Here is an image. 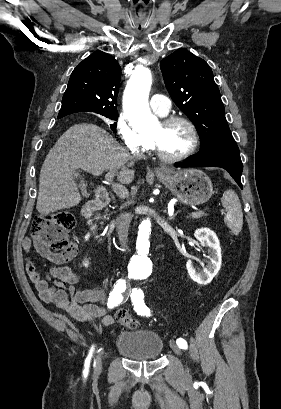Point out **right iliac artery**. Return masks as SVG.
Masks as SVG:
<instances>
[{
    "instance_id": "right-iliac-artery-1",
    "label": "right iliac artery",
    "mask_w": 281,
    "mask_h": 409,
    "mask_svg": "<svg viewBox=\"0 0 281 409\" xmlns=\"http://www.w3.org/2000/svg\"><path fill=\"white\" fill-rule=\"evenodd\" d=\"M130 295L129 286L126 284V279H119L113 286V289L110 293L108 299V308H114L115 306L119 305L122 302H126ZM92 351H90L89 356L85 361V370L84 375L86 376L88 373V367L90 363V358L92 356Z\"/></svg>"
}]
</instances>
